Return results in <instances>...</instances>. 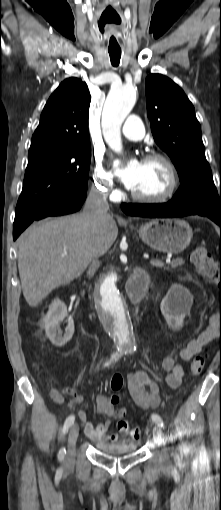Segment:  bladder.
Instances as JSON below:
<instances>
[{"mask_svg":"<svg viewBox=\"0 0 221 510\" xmlns=\"http://www.w3.org/2000/svg\"><path fill=\"white\" fill-rule=\"evenodd\" d=\"M97 449L111 456H120L132 453L136 450L137 444L132 440H123L118 442H101L95 444Z\"/></svg>","mask_w":221,"mask_h":510,"instance_id":"31cf9c89","label":"bladder"}]
</instances>
